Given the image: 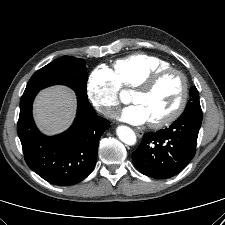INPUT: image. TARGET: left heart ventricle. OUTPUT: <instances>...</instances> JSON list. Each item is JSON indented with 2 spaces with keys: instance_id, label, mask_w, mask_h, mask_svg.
Returning a JSON list of instances; mask_svg holds the SVG:
<instances>
[{
  "instance_id": "1",
  "label": "left heart ventricle",
  "mask_w": 225,
  "mask_h": 225,
  "mask_svg": "<svg viewBox=\"0 0 225 225\" xmlns=\"http://www.w3.org/2000/svg\"><path fill=\"white\" fill-rule=\"evenodd\" d=\"M181 95V82L177 75L164 77L151 91H134L131 101L146 111L149 121L158 120L170 113Z\"/></svg>"
}]
</instances>
